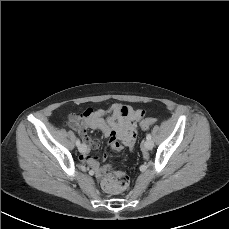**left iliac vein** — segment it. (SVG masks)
<instances>
[{
  "label": "left iliac vein",
  "mask_w": 229,
  "mask_h": 229,
  "mask_svg": "<svg viewBox=\"0 0 229 229\" xmlns=\"http://www.w3.org/2000/svg\"><path fill=\"white\" fill-rule=\"evenodd\" d=\"M153 141L150 140V139H146L145 142H144V147L145 149L147 150H151L153 148Z\"/></svg>",
  "instance_id": "4c4485c4"
}]
</instances>
